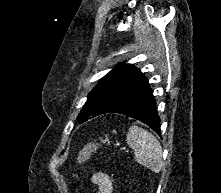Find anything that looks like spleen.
<instances>
[{"label": "spleen", "instance_id": "obj_1", "mask_svg": "<svg viewBox=\"0 0 221 193\" xmlns=\"http://www.w3.org/2000/svg\"><path fill=\"white\" fill-rule=\"evenodd\" d=\"M126 141L134 150L135 159L138 163L155 173L162 169V147L153 134L141 127L131 126Z\"/></svg>", "mask_w": 221, "mask_h": 193}]
</instances>
